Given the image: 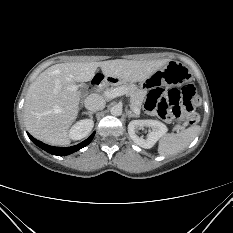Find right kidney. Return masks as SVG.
Returning a JSON list of instances; mask_svg holds the SVG:
<instances>
[{
    "label": "right kidney",
    "mask_w": 233,
    "mask_h": 233,
    "mask_svg": "<svg viewBox=\"0 0 233 233\" xmlns=\"http://www.w3.org/2000/svg\"><path fill=\"white\" fill-rule=\"evenodd\" d=\"M93 126L94 121L92 119L80 120L71 127L69 131V137L72 140H80L91 132Z\"/></svg>",
    "instance_id": "right-kidney-1"
}]
</instances>
